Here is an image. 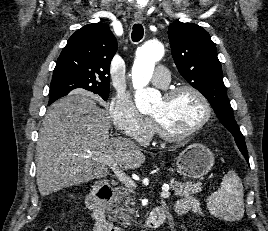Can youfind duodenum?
I'll use <instances>...</instances> for the list:
<instances>
[{"mask_svg": "<svg viewBox=\"0 0 268 231\" xmlns=\"http://www.w3.org/2000/svg\"><path fill=\"white\" fill-rule=\"evenodd\" d=\"M113 200V191L108 180L98 182L87 197V206L93 211V218L96 222V231H123L114 227L107 221L104 213L105 206ZM165 220L162 209H154L147 217L145 226L140 231H149L160 226Z\"/></svg>", "mask_w": 268, "mask_h": 231, "instance_id": "1", "label": "duodenum"}]
</instances>
